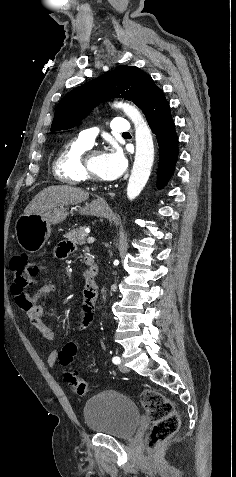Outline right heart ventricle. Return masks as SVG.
Instances as JSON below:
<instances>
[{
    "label": "right heart ventricle",
    "mask_w": 236,
    "mask_h": 477,
    "mask_svg": "<svg viewBox=\"0 0 236 477\" xmlns=\"http://www.w3.org/2000/svg\"><path fill=\"white\" fill-rule=\"evenodd\" d=\"M89 148L78 140L67 143L53 165L56 178L71 185L85 183L87 180L82 168V158Z\"/></svg>",
    "instance_id": "e07e8e85"
}]
</instances>
